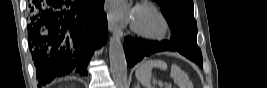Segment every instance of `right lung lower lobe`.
Returning <instances> with one entry per match:
<instances>
[{"instance_id":"1","label":"right lung lower lobe","mask_w":267,"mask_h":88,"mask_svg":"<svg viewBox=\"0 0 267 88\" xmlns=\"http://www.w3.org/2000/svg\"><path fill=\"white\" fill-rule=\"evenodd\" d=\"M104 0H31L28 44L38 81L71 72L87 75L95 49L108 37Z\"/></svg>"}]
</instances>
